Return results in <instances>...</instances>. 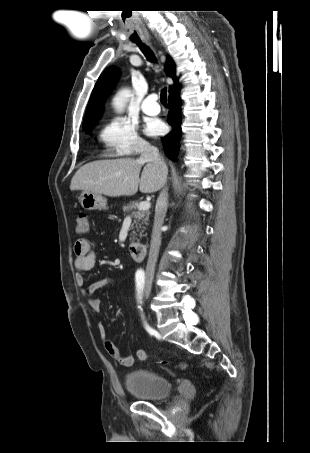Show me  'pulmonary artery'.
<instances>
[{
	"mask_svg": "<svg viewBox=\"0 0 310 453\" xmlns=\"http://www.w3.org/2000/svg\"><path fill=\"white\" fill-rule=\"evenodd\" d=\"M142 111L150 116L158 115L160 112V106L157 103V95L150 94L147 96L142 103Z\"/></svg>",
	"mask_w": 310,
	"mask_h": 453,
	"instance_id": "e3ab8cb5",
	"label": "pulmonary artery"
}]
</instances>
